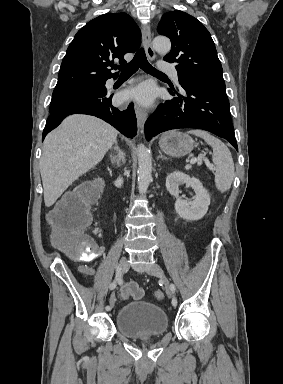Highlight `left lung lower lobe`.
Returning a JSON list of instances; mask_svg holds the SVG:
<instances>
[{"label":"left lung lower lobe","instance_id":"obj_1","mask_svg":"<svg viewBox=\"0 0 283 384\" xmlns=\"http://www.w3.org/2000/svg\"><path fill=\"white\" fill-rule=\"evenodd\" d=\"M184 96L161 104L145 124L148 140L157 134L178 128H196L225 138L238 150L224 86H210L179 79ZM182 99L184 102H182Z\"/></svg>","mask_w":283,"mask_h":384}]
</instances>
